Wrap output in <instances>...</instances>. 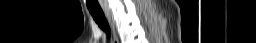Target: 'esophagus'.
Masks as SVG:
<instances>
[{
    "label": "esophagus",
    "mask_w": 256,
    "mask_h": 43,
    "mask_svg": "<svg viewBox=\"0 0 256 43\" xmlns=\"http://www.w3.org/2000/svg\"><path fill=\"white\" fill-rule=\"evenodd\" d=\"M104 13H105L106 17L108 18V20L111 24V27H112L113 41H114V43H118V39H117L116 32H115V26H114L113 22L111 21L110 13L108 10H104Z\"/></svg>",
    "instance_id": "esophagus-1"
}]
</instances>
